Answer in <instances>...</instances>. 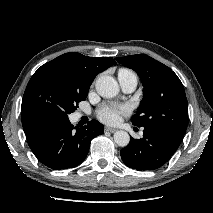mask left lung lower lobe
Returning <instances> with one entry per match:
<instances>
[{"mask_svg":"<svg viewBox=\"0 0 213 213\" xmlns=\"http://www.w3.org/2000/svg\"><path fill=\"white\" fill-rule=\"evenodd\" d=\"M183 136L171 129L144 127L143 137L131 138L129 144L120 151L122 161L138 171L157 169L175 153Z\"/></svg>","mask_w":213,"mask_h":213,"instance_id":"0a47b994","label":"left lung lower lobe"}]
</instances>
